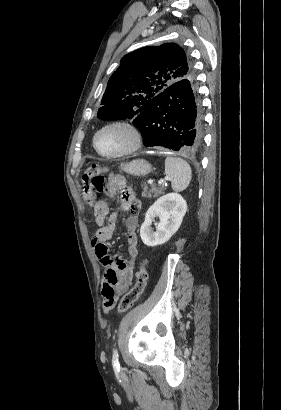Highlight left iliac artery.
I'll return each instance as SVG.
<instances>
[{
    "label": "left iliac artery",
    "instance_id": "left-iliac-artery-1",
    "mask_svg": "<svg viewBox=\"0 0 281 410\" xmlns=\"http://www.w3.org/2000/svg\"><path fill=\"white\" fill-rule=\"evenodd\" d=\"M112 364H113L114 369H119L120 368L117 349H114V351H113Z\"/></svg>",
    "mask_w": 281,
    "mask_h": 410
}]
</instances>
